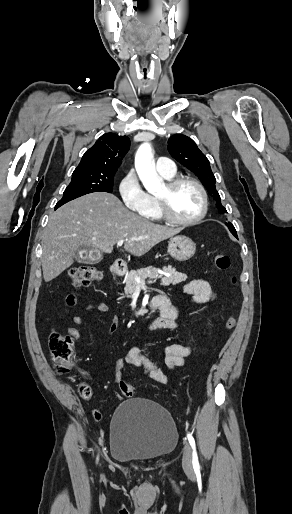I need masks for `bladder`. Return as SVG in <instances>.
<instances>
[{"mask_svg": "<svg viewBox=\"0 0 292 514\" xmlns=\"http://www.w3.org/2000/svg\"><path fill=\"white\" fill-rule=\"evenodd\" d=\"M178 431L170 412L143 398L128 399L114 411L110 450L119 461H152L174 450Z\"/></svg>", "mask_w": 292, "mask_h": 514, "instance_id": "bladder-1", "label": "bladder"}]
</instances>
